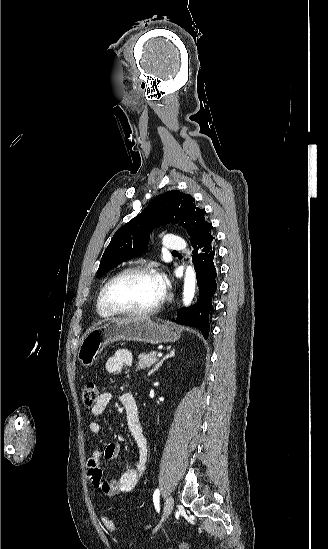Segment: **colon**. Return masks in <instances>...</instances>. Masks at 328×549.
Wrapping results in <instances>:
<instances>
[{"instance_id": "colon-1", "label": "colon", "mask_w": 328, "mask_h": 549, "mask_svg": "<svg viewBox=\"0 0 328 549\" xmlns=\"http://www.w3.org/2000/svg\"><path fill=\"white\" fill-rule=\"evenodd\" d=\"M100 396V387L93 381L87 382L82 391L83 404L86 407H93ZM103 523L109 532L116 531V524L110 518H104Z\"/></svg>"}]
</instances>
